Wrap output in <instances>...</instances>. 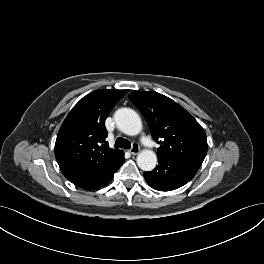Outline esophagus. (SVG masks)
<instances>
[{
	"mask_svg": "<svg viewBox=\"0 0 264 264\" xmlns=\"http://www.w3.org/2000/svg\"><path fill=\"white\" fill-rule=\"evenodd\" d=\"M139 151H140V147H139V145H138L137 143H133V144H132V147H131V149H130V153H131L132 155H136V154L139 153Z\"/></svg>",
	"mask_w": 264,
	"mask_h": 264,
	"instance_id": "34e87169",
	"label": "esophagus"
}]
</instances>
